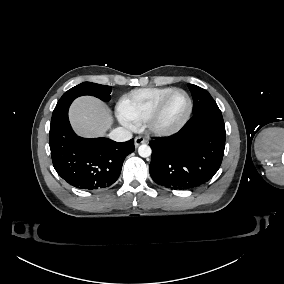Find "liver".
Returning <instances> with one entry per match:
<instances>
[{"label": "liver", "mask_w": 284, "mask_h": 284, "mask_svg": "<svg viewBox=\"0 0 284 284\" xmlns=\"http://www.w3.org/2000/svg\"><path fill=\"white\" fill-rule=\"evenodd\" d=\"M69 118L76 132L85 137L103 136L113 121L110 109L91 96L77 98L70 107Z\"/></svg>", "instance_id": "1"}]
</instances>
